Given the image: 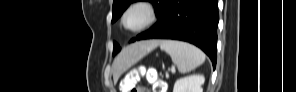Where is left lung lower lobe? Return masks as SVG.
<instances>
[{
	"instance_id": "left-lung-lower-lobe-1",
	"label": "left lung lower lobe",
	"mask_w": 296,
	"mask_h": 92,
	"mask_svg": "<svg viewBox=\"0 0 296 92\" xmlns=\"http://www.w3.org/2000/svg\"><path fill=\"white\" fill-rule=\"evenodd\" d=\"M218 21V0H169L161 25L137 40L160 38L192 43L210 57L215 68Z\"/></svg>"
}]
</instances>
